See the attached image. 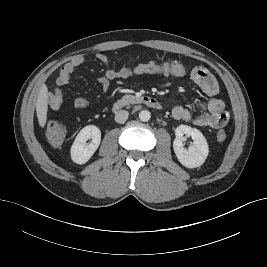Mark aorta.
<instances>
[{
  "label": "aorta",
  "instance_id": "aorta-1",
  "mask_svg": "<svg viewBox=\"0 0 267 267\" xmlns=\"http://www.w3.org/2000/svg\"><path fill=\"white\" fill-rule=\"evenodd\" d=\"M151 118V113L148 110H142L139 113V119L143 122L149 121Z\"/></svg>",
  "mask_w": 267,
  "mask_h": 267
}]
</instances>
